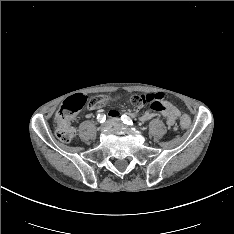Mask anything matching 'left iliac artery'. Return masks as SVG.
Masks as SVG:
<instances>
[{"label": "left iliac artery", "instance_id": "1", "mask_svg": "<svg viewBox=\"0 0 234 234\" xmlns=\"http://www.w3.org/2000/svg\"><path fill=\"white\" fill-rule=\"evenodd\" d=\"M121 120H122V122L124 124H127V125H133L134 124L133 121H132V119L129 116H127V115H122L121 116Z\"/></svg>", "mask_w": 234, "mask_h": 234}]
</instances>
